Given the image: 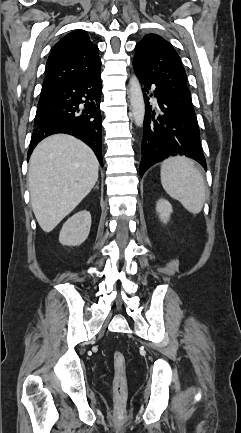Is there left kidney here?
Masks as SVG:
<instances>
[{"label":"left kidney","mask_w":241,"mask_h":433,"mask_svg":"<svg viewBox=\"0 0 241 433\" xmlns=\"http://www.w3.org/2000/svg\"><path fill=\"white\" fill-rule=\"evenodd\" d=\"M156 211L159 213V218L163 223H167L170 219V215L173 212L171 204L165 200L160 199L156 204Z\"/></svg>","instance_id":"obj_1"}]
</instances>
